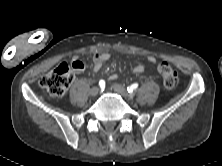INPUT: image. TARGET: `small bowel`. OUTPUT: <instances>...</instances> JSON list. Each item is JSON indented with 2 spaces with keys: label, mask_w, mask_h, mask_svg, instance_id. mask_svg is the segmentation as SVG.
I'll return each mask as SVG.
<instances>
[{
  "label": "small bowel",
  "mask_w": 222,
  "mask_h": 166,
  "mask_svg": "<svg viewBox=\"0 0 222 166\" xmlns=\"http://www.w3.org/2000/svg\"><path fill=\"white\" fill-rule=\"evenodd\" d=\"M110 59V54L102 52V53H96L93 56V70L95 72H98L102 69L103 65ZM149 62H154L155 58L153 56L148 57ZM80 65L81 67L79 69H75L77 72L82 71L84 65L83 63L80 61V59L78 57H74L72 60V65ZM146 67L142 64H139L137 66L134 67L133 72L136 74H141L143 72H145ZM117 78L116 74H112L110 76V79L114 80Z\"/></svg>",
  "instance_id": "1"
}]
</instances>
